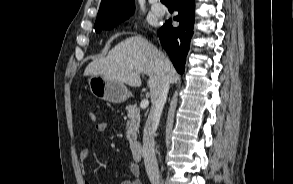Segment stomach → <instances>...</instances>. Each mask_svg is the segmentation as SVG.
<instances>
[{
  "instance_id": "1",
  "label": "stomach",
  "mask_w": 293,
  "mask_h": 184,
  "mask_svg": "<svg viewBox=\"0 0 293 184\" xmlns=\"http://www.w3.org/2000/svg\"><path fill=\"white\" fill-rule=\"evenodd\" d=\"M88 86L93 96L115 104L122 103L131 96L124 83L100 75L90 76Z\"/></svg>"
}]
</instances>
